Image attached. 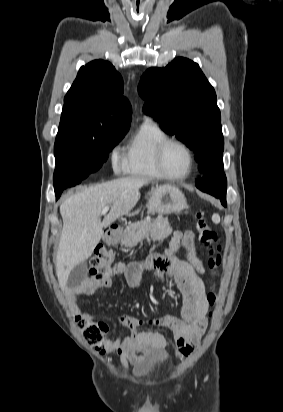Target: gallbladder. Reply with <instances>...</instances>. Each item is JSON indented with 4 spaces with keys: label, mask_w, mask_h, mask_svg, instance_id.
<instances>
[{
    "label": "gallbladder",
    "mask_w": 283,
    "mask_h": 412,
    "mask_svg": "<svg viewBox=\"0 0 283 412\" xmlns=\"http://www.w3.org/2000/svg\"><path fill=\"white\" fill-rule=\"evenodd\" d=\"M87 264L86 262H81L77 264L70 272L67 279V286L74 288L79 286L82 281L87 277Z\"/></svg>",
    "instance_id": "gallbladder-1"
}]
</instances>
